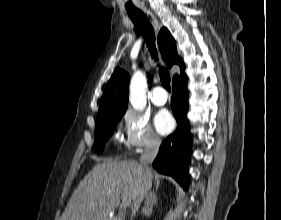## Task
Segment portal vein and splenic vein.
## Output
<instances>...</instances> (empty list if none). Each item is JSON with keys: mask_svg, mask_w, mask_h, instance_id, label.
Segmentation results:
<instances>
[{"mask_svg": "<svg viewBox=\"0 0 281 220\" xmlns=\"http://www.w3.org/2000/svg\"><path fill=\"white\" fill-rule=\"evenodd\" d=\"M131 204L130 200H123L121 203V208L126 209Z\"/></svg>", "mask_w": 281, "mask_h": 220, "instance_id": "obj_1", "label": "portal vein and splenic vein"}]
</instances>
